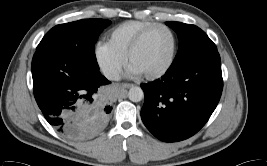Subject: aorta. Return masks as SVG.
<instances>
[{
    "instance_id": "762f6f07",
    "label": "aorta",
    "mask_w": 267,
    "mask_h": 166,
    "mask_svg": "<svg viewBox=\"0 0 267 166\" xmlns=\"http://www.w3.org/2000/svg\"><path fill=\"white\" fill-rule=\"evenodd\" d=\"M128 97L132 102H139L144 98V92L140 87H132L128 92Z\"/></svg>"
}]
</instances>
